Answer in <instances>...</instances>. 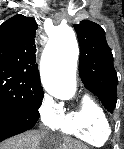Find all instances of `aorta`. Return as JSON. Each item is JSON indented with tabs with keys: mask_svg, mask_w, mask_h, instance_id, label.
Masks as SVG:
<instances>
[{
	"mask_svg": "<svg viewBox=\"0 0 124 149\" xmlns=\"http://www.w3.org/2000/svg\"><path fill=\"white\" fill-rule=\"evenodd\" d=\"M78 44L73 29L68 25L56 28V37L45 50L41 62V82L52 96L71 99L76 92V64ZM56 59L53 61L52 56Z\"/></svg>",
	"mask_w": 124,
	"mask_h": 149,
	"instance_id": "obj_1",
	"label": "aorta"
}]
</instances>
